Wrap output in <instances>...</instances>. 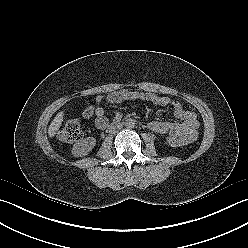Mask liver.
<instances>
[{"label":"liver","instance_id":"6515ba94","mask_svg":"<svg viewBox=\"0 0 248 248\" xmlns=\"http://www.w3.org/2000/svg\"><path fill=\"white\" fill-rule=\"evenodd\" d=\"M63 118H64V112L63 111L58 112L55 118L53 119V121L51 122V124L49 125V128H48L49 137L55 136V134L57 133V131L62 125Z\"/></svg>","mask_w":248,"mask_h":248}]
</instances>
